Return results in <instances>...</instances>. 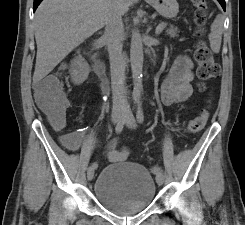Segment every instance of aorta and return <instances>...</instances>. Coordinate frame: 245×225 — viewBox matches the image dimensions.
<instances>
[{
    "instance_id": "1",
    "label": "aorta",
    "mask_w": 245,
    "mask_h": 225,
    "mask_svg": "<svg viewBox=\"0 0 245 225\" xmlns=\"http://www.w3.org/2000/svg\"><path fill=\"white\" fill-rule=\"evenodd\" d=\"M131 71L134 81L133 98L138 101L142 92L143 45L138 30L132 32L130 45Z\"/></svg>"
}]
</instances>
